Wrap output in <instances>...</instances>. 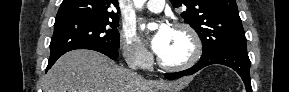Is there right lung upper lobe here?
Listing matches in <instances>:
<instances>
[{"label":"right lung upper lobe","mask_w":289,"mask_h":92,"mask_svg":"<svg viewBox=\"0 0 289 92\" xmlns=\"http://www.w3.org/2000/svg\"><path fill=\"white\" fill-rule=\"evenodd\" d=\"M119 11L118 0H63L55 20L87 17L114 19Z\"/></svg>","instance_id":"1"}]
</instances>
